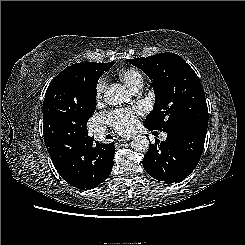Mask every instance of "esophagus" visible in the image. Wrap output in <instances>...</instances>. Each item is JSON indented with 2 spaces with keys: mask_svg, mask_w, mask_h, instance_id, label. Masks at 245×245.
Here are the masks:
<instances>
[{
  "mask_svg": "<svg viewBox=\"0 0 245 245\" xmlns=\"http://www.w3.org/2000/svg\"><path fill=\"white\" fill-rule=\"evenodd\" d=\"M132 139V137H128V138H125L124 140H121V141H124V142H128Z\"/></svg>",
  "mask_w": 245,
  "mask_h": 245,
  "instance_id": "esophagus-1",
  "label": "esophagus"
}]
</instances>
